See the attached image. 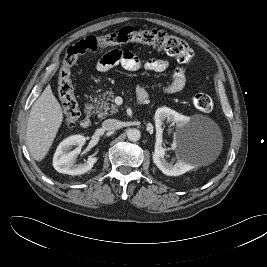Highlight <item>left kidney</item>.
<instances>
[{
    "instance_id": "obj_1",
    "label": "left kidney",
    "mask_w": 267,
    "mask_h": 267,
    "mask_svg": "<svg viewBox=\"0 0 267 267\" xmlns=\"http://www.w3.org/2000/svg\"><path fill=\"white\" fill-rule=\"evenodd\" d=\"M154 119L158 134L162 133L163 124L166 119L175 122L180 128L187 125L190 120L188 117L181 115L178 112L167 107L158 108L155 112ZM164 155L165 149L161 146V142L157 141L155 151L152 156L153 162L156 167L167 176H179L194 168V165L192 163H189L183 159L178 160L174 165L168 163L165 160Z\"/></svg>"
}]
</instances>
